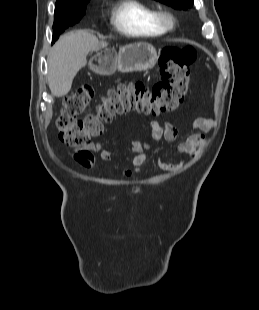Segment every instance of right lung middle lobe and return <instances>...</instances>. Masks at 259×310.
<instances>
[{
  "label": "right lung middle lobe",
  "mask_w": 259,
  "mask_h": 310,
  "mask_svg": "<svg viewBox=\"0 0 259 310\" xmlns=\"http://www.w3.org/2000/svg\"><path fill=\"white\" fill-rule=\"evenodd\" d=\"M89 1H82L80 4L72 7L55 8L52 42H55L59 38V34L65 29L80 21L85 14L86 4Z\"/></svg>",
  "instance_id": "1"
}]
</instances>
